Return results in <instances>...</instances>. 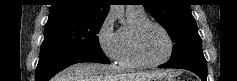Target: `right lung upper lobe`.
<instances>
[{"label":"right lung upper lobe","instance_id":"right-lung-upper-lobe-1","mask_svg":"<svg viewBox=\"0 0 237 81\" xmlns=\"http://www.w3.org/2000/svg\"><path fill=\"white\" fill-rule=\"evenodd\" d=\"M110 0H54L49 19L61 16H83L105 19Z\"/></svg>","mask_w":237,"mask_h":81}]
</instances>
